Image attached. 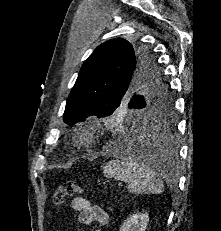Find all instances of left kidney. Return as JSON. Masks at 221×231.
<instances>
[{"label": "left kidney", "instance_id": "5707ae66", "mask_svg": "<svg viewBox=\"0 0 221 231\" xmlns=\"http://www.w3.org/2000/svg\"><path fill=\"white\" fill-rule=\"evenodd\" d=\"M148 221L147 212L133 214L122 224L120 231H145Z\"/></svg>", "mask_w": 221, "mask_h": 231}]
</instances>
